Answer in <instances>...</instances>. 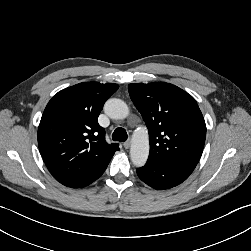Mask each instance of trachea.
I'll list each match as a JSON object with an SVG mask.
<instances>
[{
	"mask_svg": "<svg viewBox=\"0 0 251 251\" xmlns=\"http://www.w3.org/2000/svg\"><path fill=\"white\" fill-rule=\"evenodd\" d=\"M128 138L127 132L124 128H116L112 134L113 141L125 142Z\"/></svg>",
	"mask_w": 251,
	"mask_h": 251,
	"instance_id": "obj_1",
	"label": "trachea"
}]
</instances>
